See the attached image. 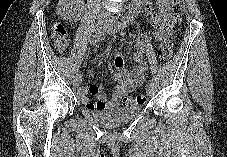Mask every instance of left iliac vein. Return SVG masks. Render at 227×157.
I'll return each instance as SVG.
<instances>
[{
  "label": "left iliac vein",
  "mask_w": 227,
  "mask_h": 157,
  "mask_svg": "<svg viewBox=\"0 0 227 157\" xmlns=\"http://www.w3.org/2000/svg\"><path fill=\"white\" fill-rule=\"evenodd\" d=\"M119 25H120V23H116V29L120 28ZM113 32H114V30H113V28H111L110 33H113ZM146 92H147V94L149 96H153L155 94V86H154V84H149L147 86V88H146Z\"/></svg>",
  "instance_id": "1"
}]
</instances>
